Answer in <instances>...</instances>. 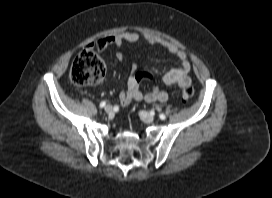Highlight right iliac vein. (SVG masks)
I'll return each mask as SVG.
<instances>
[{
  "mask_svg": "<svg viewBox=\"0 0 272 198\" xmlns=\"http://www.w3.org/2000/svg\"><path fill=\"white\" fill-rule=\"evenodd\" d=\"M113 111V107L111 105H106L105 106V112L106 113H111Z\"/></svg>",
  "mask_w": 272,
  "mask_h": 198,
  "instance_id": "63e3f726",
  "label": "right iliac vein"
}]
</instances>
